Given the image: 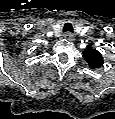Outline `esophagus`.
Returning <instances> with one entry per match:
<instances>
[{"label": "esophagus", "mask_w": 115, "mask_h": 119, "mask_svg": "<svg viewBox=\"0 0 115 119\" xmlns=\"http://www.w3.org/2000/svg\"><path fill=\"white\" fill-rule=\"evenodd\" d=\"M64 38L68 41H72L74 39V36H73V34L68 32V33L64 34Z\"/></svg>", "instance_id": "esophagus-1"}]
</instances>
